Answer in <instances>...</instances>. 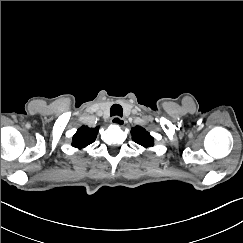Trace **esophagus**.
I'll use <instances>...</instances> for the list:
<instances>
[{"label": "esophagus", "instance_id": "34e87169", "mask_svg": "<svg viewBox=\"0 0 243 243\" xmlns=\"http://www.w3.org/2000/svg\"><path fill=\"white\" fill-rule=\"evenodd\" d=\"M111 123L113 125H117V126H123L125 124V120L119 116H114L111 119Z\"/></svg>", "mask_w": 243, "mask_h": 243}]
</instances>
